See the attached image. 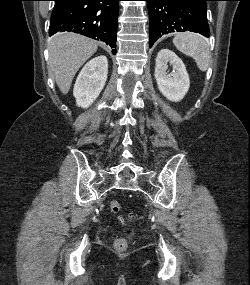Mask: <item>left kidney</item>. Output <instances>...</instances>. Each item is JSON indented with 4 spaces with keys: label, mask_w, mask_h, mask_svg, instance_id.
<instances>
[{
    "label": "left kidney",
    "mask_w": 250,
    "mask_h": 285,
    "mask_svg": "<svg viewBox=\"0 0 250 285\" xmlns=\"http://www.w3.org/2000/svg\"><path fill=\"white\" fill-rule=\"evenodd\" d=\"M168 63L174 72L168 74ZM159 91L170 101H181L190 87L189 75L182 60L171 50L162 49L156 57L154 73Z\"/></svg>",
    "instance_id": "obj_1"
}]
</instances>
